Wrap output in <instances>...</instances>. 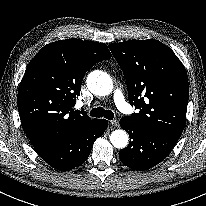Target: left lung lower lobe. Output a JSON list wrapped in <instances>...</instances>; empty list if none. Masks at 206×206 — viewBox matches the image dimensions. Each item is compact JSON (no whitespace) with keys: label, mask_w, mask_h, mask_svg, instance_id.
I'll return each mask as SVG.
<instances>
[{"label":"left lung lower lobe","mask_w":206,"mask_h":206,"mask_svg":"<svg viewBox=\"0 0 206 206\" xmlns=\"http://www.w3.org/2000/svg\"><path fill=\"white\" fill-rule=\"evenodd\" d=\"M120 126L128 132L130 142L119 151L121 162L135 170H146L160 163L171 152L178 139L134 126L124 118Z\"/></svg>","instance_id":"obj_1"}]
</instances>
